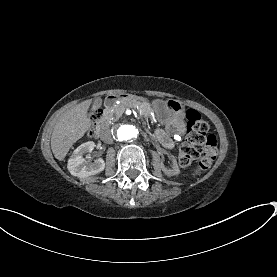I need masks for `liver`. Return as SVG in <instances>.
Returning <instances> with one entry per match:
<instances>
[{"label":"liver","mask_w":277,"mask_h":277,"mask_svg":"<svg viewBox=\"0 0 277 277\" xmlns=\"http://www.w3.org/2000/svg\"><path fill=\"white\" fill-rule=\"evenodd\" d=\"M92 100H85L68 110L54 126L51 149L56 159L64 160L72 145L82 138L91 127L87 110Z\"/></svg>","instance_id":"obj_1"}]
</instances>
